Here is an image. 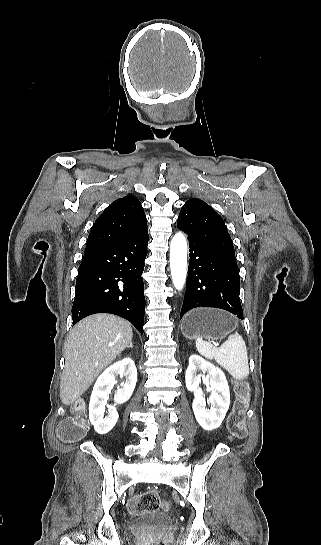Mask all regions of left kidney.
Segmentation results:
<instances>
[{"label":"left kidney","mask_w":321,"mask_h":545,"mask_svg":"<svg viewBox=\"0 0 321 545\" xmlns=\"http://www.w3.org/2000/svg\"><path fill=\"white\" fill-rule=\"evenodd\" d=\"M198 369H201L203 373H207L206 377L209 379L211 395L207 399V403L211 405L210 411L205 409L206 399H204V393L199 387L201 375H196ZM185 383L188 391L194 393L195 399L192 409L197 423L205 431L218 429L223 419H225L230 405V391L223 371L218 367H214L212 363H208L199 355H191L189 367L185 373Z\"/></svg>","instance_id":"5707ae66"}]
</instances>
